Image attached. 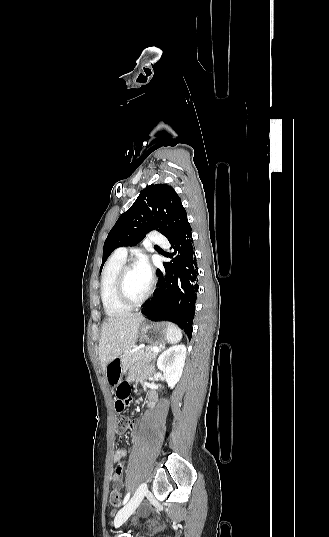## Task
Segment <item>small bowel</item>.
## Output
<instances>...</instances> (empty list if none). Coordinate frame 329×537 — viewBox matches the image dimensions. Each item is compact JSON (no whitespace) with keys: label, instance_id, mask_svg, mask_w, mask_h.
<instances>
[{"label":"small bowel","instance_id":"small-bowel-1","mask_svg":"<svg viewBox=\"0 0 329 537\" xmlns=\"http://www.w3.org/2000/svg\"><path fill=\"white\" fill-rule=\"evenodd\" d=\"M116 391H115V405L114 408L118 412H122L127 410L128 404L132 402L131 396H132V389L129 381H118L116 385ZM155 402V394L150 393L149 394V404L150 406H153ZM127 450L124 447H120L116 449V451L113 454V461L117 463V467L115 468L113 475H112V482L117 488H121L123 486V467L121 465V461L126 456Z\"/></svg>","mask_w":329,"mask_h":537}]
</instances>
